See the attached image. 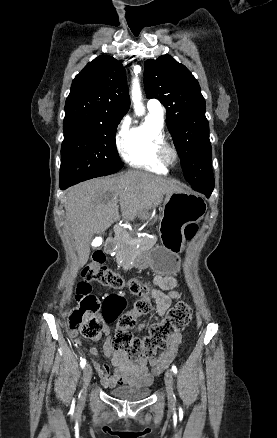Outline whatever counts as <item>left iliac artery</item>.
Instances as JSON below:
<instances>
[{
  "label": "left iliac artery",
  "mask_w": 277,
  "mask_h": 438,
  "mask_svg": "<svg viewBox=\"0 0 277 438\" xmlns=\"http://www.w3.org/2000/svg\"><path fill=\"white\" fill-rule=\"evenodd\" d=\"M172 371L174 372V374L177 373V367L175 365H172Z\"/></svg>",
  "instance_id": "1"
}]
</instances>
